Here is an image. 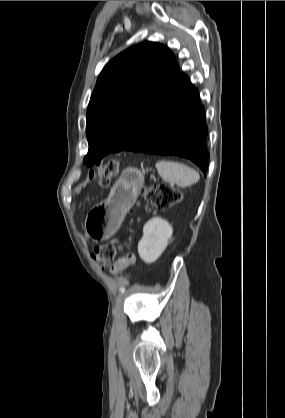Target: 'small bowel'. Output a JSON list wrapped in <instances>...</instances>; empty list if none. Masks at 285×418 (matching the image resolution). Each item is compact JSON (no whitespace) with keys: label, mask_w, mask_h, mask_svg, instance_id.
Instances as JSON below:
<instances>
[{"label":"small bowel","mask_w":285,"mask_h":418,"mask_svg":"<svg viewBox=\"0 0 285 418\" xmlns=\"http://www.w3.org/2000/svg\"><path fill=\"white\" fill-rule=\"evenodd\" d=\"M124 260V258L123 259H120L119 261H117L112 267H111V271H113V272H117V271H119L118 270V266L120 265V263L122 262ZM132 262H134V258L132 259Z\"/></svg>","instance_id":"c3829d8e"}]
</instances>
